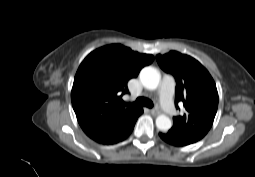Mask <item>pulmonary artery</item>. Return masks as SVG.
I'll use <instances>...</instances> for the list:
<instances>
[{
    "label": "pulmonary artery",
    "mask_w": 255,
    "mask_h": 177,
    "mask_svg": "<svg viewBox=\"0 0 255 177\" xmlns=\"http://www.w3.org/2000/svg\"><path fill=\"white\" fill-rule=\"evenodd\" d=\"M174 91H175L174 79L169 75H165L163 77V80L159 89V98H160L161 107L169 115H172L175 113V107L173 104Z\"/></svg>",
    "instance_id": "e3ab8cb5"
}]
</instances>
